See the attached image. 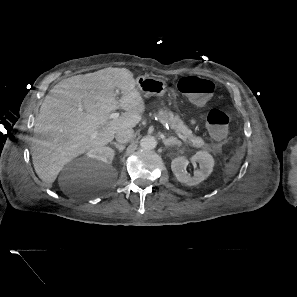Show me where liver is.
<instances>
[{
    "instance_id": "1",
    "label": "liver",
    "mask_w": 297,
    "mask_h": 297,
    "mask_svg": "<svg viewBox=\"0 0 297 297\" xmlns=\"http://www.w3.org/2000/svg\"><path fill=\"white\" fill-rule=\"evenodd\" d=\"M115 88L121 90L119 100ZM118 108L126 112L111 119ZM144 111V100L126 68L109 67L62 80L43 100L34 125L31 154L36 174L51 186L67 163L107 145L118 131L134 128Z\"/></svg>"
}]
</instances>
